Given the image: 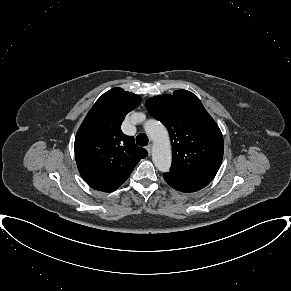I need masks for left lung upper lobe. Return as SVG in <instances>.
<instances>
[{
    "label": "left lung upper lobe",
    "instance_id": "1",
    "mask_svg": "<svg viewBox=\"0 0 291 291\" xmlns=\"http://www.w3.org/2000/svg\"><path fill=\"white\" fill-rule=\"evenodd\" d=\"M150 115L168 129L172 152L170 172L212 181L222 159V133L199 98L187 90H177L149 98Z\"/></svg>",
    "mask_w": 291,
    "mask_h": 291
}]
</instances>
